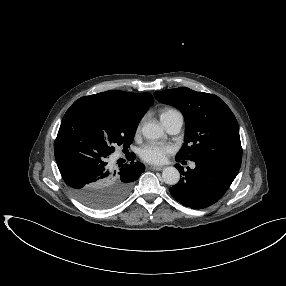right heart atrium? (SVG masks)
Returning <instances> with one entry per match:
<instances>
[{
	"mask_svg": "<svg viewBox=\"0 0 286 286\" xmlns=\"http://www.w3.org/2000/svg\"><path fill=\"white\" fill-rule=\"evenodd\" d=\"M140 129H141V123L137 126L136 132L138 133L140 131Z\"/></svg>",
	"mask_w": 286,
	"mask_h": 286,
	"instance_id": "obj_1",
	"label": "right heart atrium"
}]
</instances>
